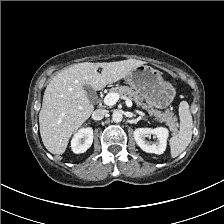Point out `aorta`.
I'll list each match as a JSON object with an SVG mask.
<instances>
[{
	"instance_id": "obj_1",
	"label": "aorta",
	"mask_w": 224,
	"mask_h": 224,
	"mask_svg": "<svg viewBox=\"0 0 224 224\" xmlns=\"http://www.w3.org/2000/svg\"><path fill=\"white\" fill-rule=\"evenodd\" d=\"M112 120L116 123L121 122L122 121V114L120 111H114L112 114Z\"/></svg>"
}]
</instances>
